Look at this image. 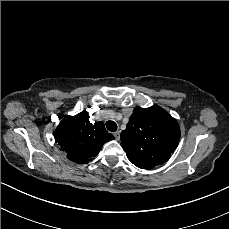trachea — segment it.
<instances>
[{
	"label": "trachea",
	"instance_id": "obj_1",
	"mask_svg": "<svg viewBox=\"0 0 229 229\" xmlns=\"http://www.w3.org/2000/svg\"><path fill=\"white\" fill-rule=\"evenodd\" d=\"M106 127L111 132H115L118 129V126L114 121H107Z\"/></svg>",
	"mask_w": 229,
	"mask_h": 229
}]
</instances>
